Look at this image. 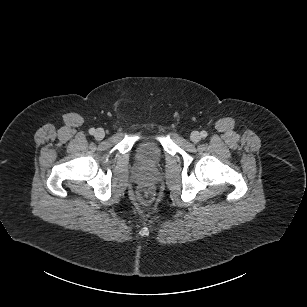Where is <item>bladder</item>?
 I'll list each match as a JSON object with an SVG mask.
<instances>
[{
    "label": "bladder",
    "mask_w": 307,
    "mask_h": 307,
    "mask_svg": "<svg viewBox=\"0 0 307 307\" xmlns=\"http://www.w3.org/2000/svg\"><path fill=\"white\" fill-rule=\"evenodd\" d=\"M163 158L161 146L152 140L142 142L136 150V159L145 167L151 168L160 163Z\"/></svg>",
    "instance_id": "1"
}]
</instances>
